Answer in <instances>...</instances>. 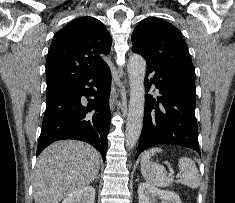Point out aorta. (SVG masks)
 Returning <instances> with one entry per match:
<instances>
[{
	"label": "aorta",
	"mask_w": 235,
	"mask_h": 203,
	"mask_svg": "<svg viewBox=\"0 0 235 203\" xmlns=\"http://www.w3.org/2000/svg\"><path fill=\"white\" fill-rule=\"evenodd\" d=\"M127 71L130 83V101L126 123V147L131 150L136 145L143 126L146 61L138 55L129 57Z\"/></svg>",
	"instance_id": "obj_1"
}]
</instances>
